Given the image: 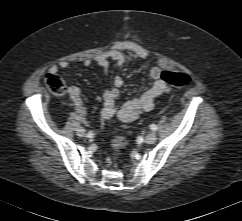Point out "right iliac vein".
I'll return each mask as SVG.
<instances>
[{"label":"right iliac vein","instance_id":"1","mask_svg":"<svg viewBox=\"0 0 242 221\" xmlns=\"http://www.w3.org/2000/svg\"><path fill=\"white\" fill-rule=\"evenodd\" d=\"M77 135L81 137L85 136L86 135L85 130L83 128H78Z\"/></svg>","mask_w":242,"mask_h":221}]
</instances>
